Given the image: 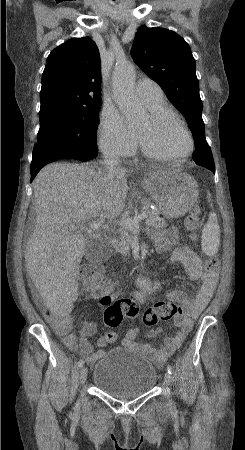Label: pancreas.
<instances>
[{"label":"pancreas","mask_w":245,"mask_h":450,"mask_svg":"<svg viewBox=\"0 0 245 450\" xmlns=\"http://www.w3.org/2000/svg\"><path fill=\"white\" fill-rule=\"evenodd\" d=\"M142 212L147 214L146 217V225L152 228L161 229L167 227V224L163 218L159 215L160 213L155 210H150L148 207H144ZM118 233L120 234V239L116 250L122 255H127L129 253L131 242L133 238V234L130 230L125 228H120Z\"/></svg>","instance_id":"1"}]
</instances>
